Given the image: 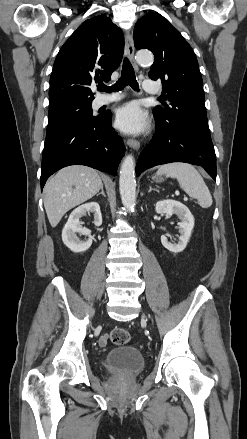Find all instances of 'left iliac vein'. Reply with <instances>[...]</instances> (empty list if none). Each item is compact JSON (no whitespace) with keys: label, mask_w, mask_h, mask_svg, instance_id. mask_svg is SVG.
I'll return each mask as SVG.
<instances>
[{"label":"left iliac vein","mask_w":247,"mask_h":439,"mask_svg":"<svg viewBox=\"0 0 247 439\" xmlns=\"http://www.w3.org/2000/svg\"><path fill=\"white\" fill-rule=\"evenodd\" d=\"M146 316L143 314V318H145Z\"/></svg>","instance_id":"4c4485c4"}]
</instances>
